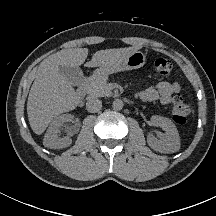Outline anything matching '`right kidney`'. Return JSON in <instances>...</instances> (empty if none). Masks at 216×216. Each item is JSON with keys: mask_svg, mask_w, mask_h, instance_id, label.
Listing matches in <instances>:
<instances>
[{"mask_svg": "<svg viewBox=\"0 0 216 216\" xmlns=\"http://www.w3.org/2000/svg\"><path fill=\"white\" fill-rule=\"evenodd\" d=\"M73 115L63 114L58 116L50 124L43 139V144L47 148L61 149L71 145L72 140L69 136L60 137V129L63 124L71 122Z\"/></svg>", "mask_w": 216, "mask_h": 216, "instance_id": "right-kidney-1", "label": "right kidney"}]
</instances>
